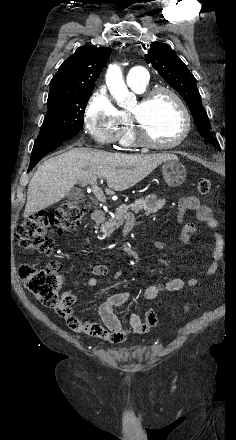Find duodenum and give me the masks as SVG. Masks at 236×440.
<instances>
[{"mask_svg":"<svg viewBox=\"0 0 236 440\" xmlns=\"http://www.w3.org/2000/svg\"><path fill=\"white\" fill-rule=\"evenodd\" d=\"M104 215H105V212L103 209H101V208L94 209L91 213V220L94 222L99 221L100 219H102L104 217Z\"/></svg>","mask_w":236,"mask_h":440,"instance_id":"410a0bca","label":"duodenum"}]
</instances>
